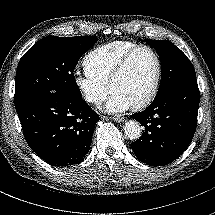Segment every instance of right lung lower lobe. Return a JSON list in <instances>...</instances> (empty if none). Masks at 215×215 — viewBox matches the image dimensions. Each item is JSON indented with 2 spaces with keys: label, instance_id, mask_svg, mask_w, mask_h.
<instances>
[{
  "label": "right lung lower lobe",
  "instance_id": "1",
  "mask_svg": "<svg viewBox=\"0 0 215 215\" xmlns=\"http://www.w3.org/2000/svg\"><path fill=\"white\" fill-rule=\"evenodd\" d=\"M16 111L29 147L48 164H79L90 149L95 113L82 98L40 95Z\"/></svg>",
  "mask_w": 215,
  "mask_h": 215
}]
</instances>
